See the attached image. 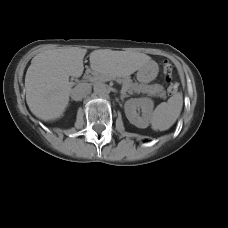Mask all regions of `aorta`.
Returning a JSON list of instances; mask_svg holds the SVG:
<instances>
[{
  "mask_svg": "<svg viewBox=\"0 0 228 228\" xmlns=\"http://www.w3.org/2000/svg\"><path fill=\"white\" fill-rule=\"evenodd\" d=\"M93 90L95 94L98 95L99 97H105L107 95V88L105 84L101 82L95 83L93 86Z\"/></svg>",
  "mask_w": 228,
  "mask_h": 228,
  "instance_id": "1",
  "label": "aorta"
}]
</instances>
